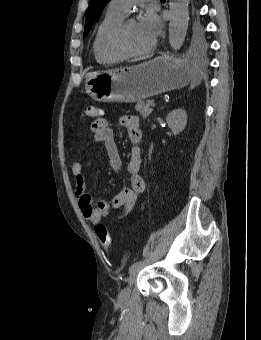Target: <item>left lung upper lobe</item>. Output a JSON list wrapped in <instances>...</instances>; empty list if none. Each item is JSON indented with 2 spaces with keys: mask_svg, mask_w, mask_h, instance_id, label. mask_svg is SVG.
Returning a JSON list of instances; mask_svg holds the SVG:
<instances>
[{
  "mask_svg": "<svg viewBox=\"0 0 261 340\" xmlns=\"http://www.w3.org/2000/svg\"><path fill=\"white\" fill-rule=\"evenodd\" d=\"M109 1L110 0H90L83 38L86 37L92 25L98 19ZM191 42L197 47H200L204 44L203 27L197 18L194 19L191 25Z\"/></svg>",
  "mask_w": 261,
  "mask_h": 340,
  "instance_id": "5c2ea615",
  "label": "left lung upper lobe"
}]
</instances>
